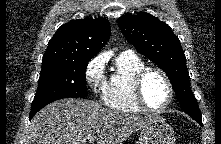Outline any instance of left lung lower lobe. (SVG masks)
Wrapping results in <instances>:
<instances>
[{
	"label": "left lung lower lobe",
	"mask_w": 221,
	"mask_h": 144,
	"mask_svg": "<svg viewBox=\"0 0 221 144\" xmlns=\"http://www.w3.org/2000/svg\"><path fill=\"white\" fill-rule=\"evenodd\" d=\"M194 120H196L198 123H200L202 125V120L201 118H193Z\"/></svg>",
	"instance_id": "0a47b994"
}]
</instances>
